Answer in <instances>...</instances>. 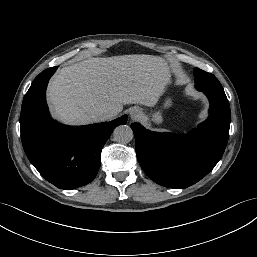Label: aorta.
<instances>
[{
	"label": "aorta",
	"mask_w": 257,
	"mask_h": 257,
	"mask_svg": "<svg viewBox=\"0 0 257 257\" xmlns=\"http://www.w3.org/2000/svg\"><path fill=\"white\" fill-rule=\"evenodd\" d=\"M114 139L122 144L129 143L134 135L132 129L128 125H120L113 132Z\"/></svg>",
	"instance_id": "762f6f07"
}]
</instances>
